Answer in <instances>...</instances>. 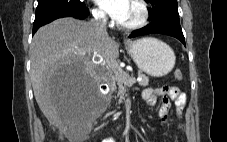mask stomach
<instances>
[{
	"instance_id": "stomach-1",
	"label": "stomach",
	"mask_w": 227,
	"mask_h": 142,
	"mask_svg": "<svg viewBox=\"0 0 227 142\" xmlns=\"http://www.w3.org/2000/svg\"><path fill=\"white\" fill-rule=\"evenodd\" d=\"M138 68L152 77H163L173 69L175 54L164 42L147 37L126 44Z\"/></svg>"
}]
</instances>
